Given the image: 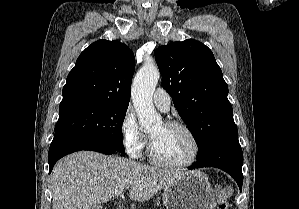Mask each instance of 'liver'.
<instances>
[{
  "label": "liver",
  "mask_w": 299,
  "mask_h": 209,
  "mask_svg": "<svg viewBox=\"0 0 299 209\" xmlns=\"http://www.w3.org/2000/svg\"><path fill=\"white\" fill-rule=\"evenodd\" d=\"M190 173L91 151L76 152L53 168V209H90L93 204L109 201L120 187L130 188L128 197L133 203L143 202Z\"/></svg>",
  "instance_id": "obj_1"
}]
</instances>
